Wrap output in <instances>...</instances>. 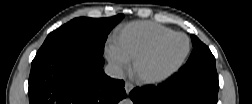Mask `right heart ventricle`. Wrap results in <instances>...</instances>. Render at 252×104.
Masks as SVG:
<instances>
[{
	"label": "right heart ventricle",
	"mask_w": 252,
	"mask_h": 104,
	"mask_svg": "<svg viewBox=\"0 0 252 104\" xmlns=\"http://www.w3.org/2000/svg\"><path fill=\"white\" fill-rule=\"evenodd\" d=\"M170 32V30L151 22H133L119 32L114 45L122 56L128 61H132L153 41Z\"/></svg>",
	"instance_id": "right-heart-ventricle-1"
}]
</instances>
